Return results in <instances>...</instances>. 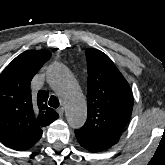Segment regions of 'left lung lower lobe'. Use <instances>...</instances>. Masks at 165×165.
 Listing matches in <instances>:
<instances>
[{"instance_id": "left-lung-lower-lobe-1", "label": "left lung lower lobe", "mask_w": 165, "mask_h": 165, "mask_svg": "<svg viewBox=\"0 0 165 165\" xmlns=\"http://www.w3.org/2000/svg\"><path fill=\"white\" fill-rule=\"evenodd\" d=\"M75 136L80 145L91 152H101L111 147L95 139L94 137L83 132L80 129L75 130Z\"/></svg>"}]
</instances>
